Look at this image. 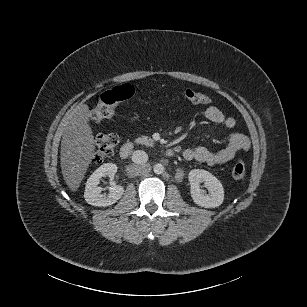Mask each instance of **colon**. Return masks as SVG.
I'll list each match as a JSON object with an SVG mask.
<instances>
[{
	"label": "colon",
	"mask_w": 307,
	"mask_h": 307,
	"mask_svg": "<svg viewBox=\"0 0 307 307\" xmlns=\"http://www.w3.org/2000/svg\"><path fill=\"white\" fill-rule=\"evenodd\" d=\"M134 95V88L129 84H122L104 91L99 98L97 106L91 111L89 118L93 123H101L110 118L117 106ZM185 102L191 104H210L212 99L203 93L193 90H186L182 94ZM119 143V137L115 133L100 134L95 139V155L96 162H102L110 157ZM246 165L241 159L236 161L232 169V177L235 180H241L245 177Z\"/></svg>",
	"instance_id": "colon-1"
}]
</instances>
